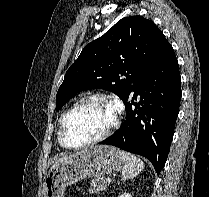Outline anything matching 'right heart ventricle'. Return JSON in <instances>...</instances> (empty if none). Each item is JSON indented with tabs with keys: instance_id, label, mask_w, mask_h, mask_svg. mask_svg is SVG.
<instances>
[{
	"instance_id": "1",
	"label": "right heart ventricle",
	"mask_w": 209,
	"mask_h": 197,
	"mask_svg": "<svg viewBox=\"0 0 209 197\" xmlns=\"http://www.w3.org/2000/svg\"><path fill=\"white\" fill-rule=\"evenodd\" d=\"M57 138H58L59 144L61 145L60 140H59V130H58V133H57ZM61 146H62V145H61Z\"/></svg>"
}]
</instances>
